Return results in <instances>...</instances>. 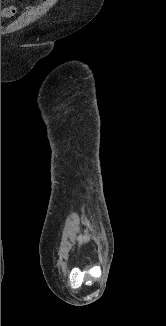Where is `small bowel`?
<instances>
[{"label": "small bowel", "mask_w": 166, "mask_h": 326, "mask_svg": "<svg viewBox=\"0 0 166 326\" xmlns=\"http://www.w3.org/2000/svg\"><path fill=\"white\" fill-rule=\"evenodd\" d=\"M8 3V6L1 9V17L9 18L18 12L17 0H1Z\"/></svg>", "instance_id": "c3829d8e"}]
</instances>
